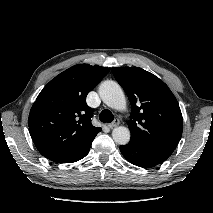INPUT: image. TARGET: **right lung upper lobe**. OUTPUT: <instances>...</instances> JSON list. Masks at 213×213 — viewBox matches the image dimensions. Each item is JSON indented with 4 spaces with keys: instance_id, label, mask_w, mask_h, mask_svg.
Masks as SVG:
<instances>
[{
    "instance_id": "cb5924a9",
    "label": "right lung upper lobe",
    "mask_w": 213,
    "mask_h": 213,
    "mask_svg": "<svg viewBox=\"0 0 213 213\" xmlns=\"http://www.w3.org/2000/svg\"><path fill=\"white\" fill-rule=\"evenodd\" d=\"M109 71L107 67L75 65L43 88L28 118L30 135L42 155L77 150L101 131L91 123L93 110L86 96Z\"/></svg>"
}]
</instances>
